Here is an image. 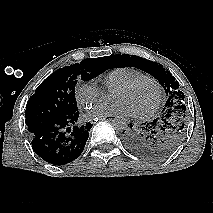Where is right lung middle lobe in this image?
I'll list each match as a JSON object with an SVG mask.
<instances>
[{
  "label": "right lung middle lobe",
  "instance_id": "obj_1",
  "mask_svg": "<svg viewBox=\"0 0 213 213\" xmlns=\"http://www.w3.org/2000/svg\"><path fill=\"white\" fill-rule=\"evenodd\" d=\"M109 67L106 57L89 58L58 69L47 77L30 97L25 111L31 132L37 125L78 111L75 86L79 79L91 80Z\"/></svg>",
  "mask_w": 213,
  "mask_h": 213
}]
</instances>
